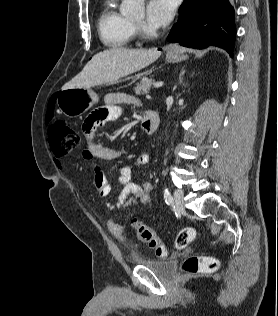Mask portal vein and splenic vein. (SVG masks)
Instances as JSON below:
<instances>
[{
    "label": "portal vein and splenic vein",
    "instance_id": "portal-vein-and-splenic-vein-1",
    "mask_svg": "<svg viewBox=\"0 0 278 316\" xmlns=\"http://www.w3.org/2000/svg\"><path fill=\"white\" fill-rule=\"evenodd\" d=\"M162 86H163V82H157V83L154 84L155 88H160Z\"/></svg>",
    "mask_w": 278,
    "mask_h": 316
}]
</instances>
